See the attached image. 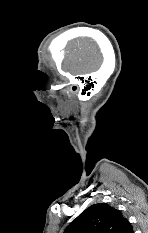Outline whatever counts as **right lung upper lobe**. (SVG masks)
Wrapping results in <instances>:
<instances>
[{"instance_id": "1", "label": "right lung upper lobe", "mask_w": 148, "mask_h": 233, "mask_svg": "<svg viewBox=\"0 0 148 233\" xmlns=\"http://www.w3.org/2000/svg\"><path fill=\"white\" fill-rule=\"evenodd\" d=\"M64 233H134L122 213L106 203H98L83 211Z\"/></svg>"}]
</instances>
